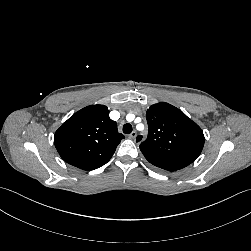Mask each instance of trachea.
Segmentation results:
<instances>
[{
	"label": "trachea",
	"instance_id": "obj_1",
	"mask_svg": "<svg viewBox=\"0 0 251 251\" xmlns=\"http://www.w3.org/2000/svg\"><path fill=\"white\" fill-rule=\"evenodd\" d=\"M132 132V125L127 123L123 126V133L130 134Z\"/></svg>",
	"mask_w": 251,
	"mask_h": 251
}]
</instances>
